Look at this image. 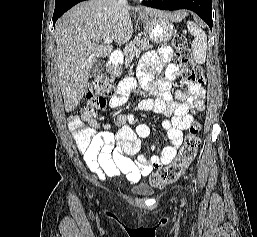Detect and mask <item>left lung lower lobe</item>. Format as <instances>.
Here are the masks:
<instances>
[{
	"mask_svg": "<svg viewBox=\"0 0 257 237\" xmlns=\"http://www.w3.org/2000/svg\"><path fill=\"white\" fill-rule=\"evenodd\" d=\"M143 5L161 10L188 9L197 13L212 30V0L143 1Z\"/></svg>",
	"mask_w": 257,
	"mask_h": 237,
	"instance_id": "0a47b994",
	"label": "left lung lower lobe"
}]
</instances>
